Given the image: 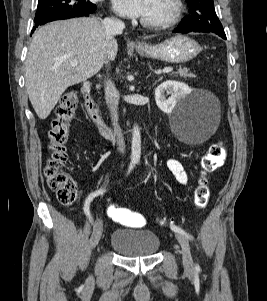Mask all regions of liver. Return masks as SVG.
Segmentation results:
<instances>
[{"mask_svg":"<svg viewBox=\"0 0 267 301\" xmlns=\"http://www.w3.org/2000/svg\"><path fill=\"white\" fill-rule=\"evenodd\" d=\"M117 51V41L106 40L105 28L95 17L40 27L25 62L27 93L38 117L46 119L68 87L97 74L106 60L115 59ZM74 60L76 66L71 65Z\"/></svg>","mask_w":267,"mask_h":301,"instance_id":"liver-1","label":"liver"}]
</instances>
